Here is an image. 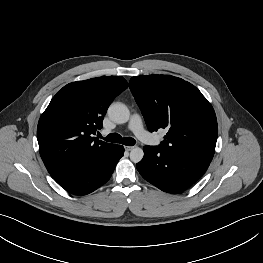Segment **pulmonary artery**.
I'll return each mask as SVG.
<instances>
[{"label": "pulmonary artery", "mask_w": 263, "mask_h": 263, "mask_svg": "<svg viewBox=\"0 0 263 263\" xmlns=\"http://www.w3.org/2000/svg\"><path fill=\"white\" fill-rule=\"evenodd\" d=\"M128 129L132 131L135 136L140 140V141H146L149 137H151L153 140L156 141L155 137H152L150 133H148L142 123V119L139 115L134 114L129 123H128Z\"/></svg>", "instance_id": "1"}]
</instances>
